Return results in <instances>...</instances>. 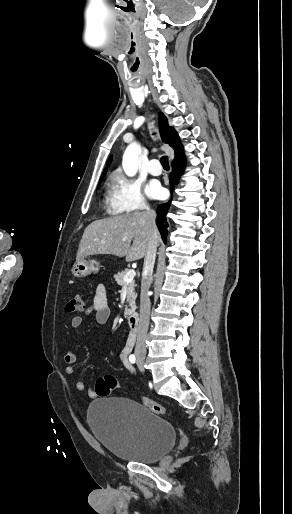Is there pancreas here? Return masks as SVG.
<instances>
[{"label": "pancreas", "mask_w": 292, "mask_h": 514, "mask_svg": "<svg viewBox=\"0 0 292 514\" xmlns=\"http://www.w3.org/2000/svg\"><path fill=\"white\" fill-rule=\"evenodd\" d=\"M127 272H129V270H123V272H119V274H115L114 278L117 282V284H119V286H127V302H129V306H130V310L129 308H126L125 310V316H129V314H132V312H134L136 306H135V300L137 298L136 296V292H135V280H132V282H129V284H126V282H124V278L127 274Z\"/></svg>", "instance_id": "obj_1"}]
</instances>
